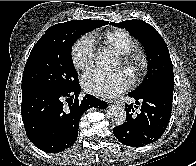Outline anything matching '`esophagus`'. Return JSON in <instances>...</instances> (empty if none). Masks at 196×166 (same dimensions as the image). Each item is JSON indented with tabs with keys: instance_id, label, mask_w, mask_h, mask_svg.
<instances>
[{
	"instance_id": "obj_1",
	"label": "esophagus",
	"mask_w": 196,
	"mask_h": 166,
	"mask_svg": "<svg viewBox=\"0 0 196 166\" xmlns=\"http://www.w3.org/2000/svg\"><path fill=\"white\" fill-rule=\"evenodd\" d=\"M108 103H115L114 101H108Z\"/></svg>"
}]
</instances>
